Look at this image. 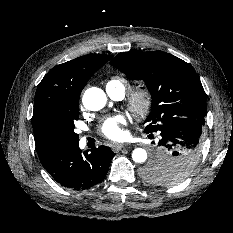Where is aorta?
Returning a JSON list of instances; mask_svg holds the SVG:
<instances>
[{"label":"aorta","instance_id":"obj_1","mask_svg":"<svg viewBox=\"0 0 233 233\" xmlns=\"http://www.w3.org/2000/svg\"><path fill=\"white\" fill-rule=\"evenodd\" d=\"M82 102L87 110L99 111L105 107L107 97L104 91L100 88L91 87L85 91ZM132 159L137 163H144L147 159L146 150L143 148H136L132 152Z\"/></svg>","mask_w":233,"mask_h":233}]
</instances>
